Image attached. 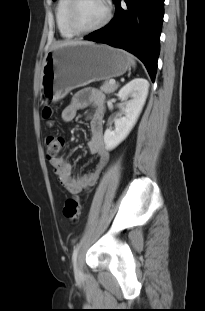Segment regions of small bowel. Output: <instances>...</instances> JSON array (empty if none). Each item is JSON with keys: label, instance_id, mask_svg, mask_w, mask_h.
Instances as JSON below:
<instances>
[{"label": "small bowel", "instance_id": "c3829d8e", "mask_svg": "<svg viewBox=\"0 0 205 311\" xmlns=\"http://www.w3.org/2000/svg\"><path fill=\"white\" fill-rule=\"evenodd\" d=\"M90 106L93 108V113L88 119L90 138L87 147L89 152L97 157L96 168L89 173L74 175L71 163L63 156L50 161L58 182L71 194H79L91 188L97 182L110 156L103 138L105 110L102 92L93 88L77 92L62 110L61 119L67 123L72 122L80 110Z\"/></svg>", "mask_w": 205, "mask_h": 311}]
</instances>
